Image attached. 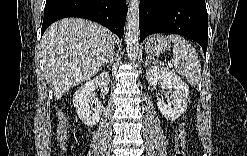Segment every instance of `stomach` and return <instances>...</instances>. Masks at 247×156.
Returning a JSON list of instances; mask_svg holds the SVG:
<instances>
[{"label":"stomach","instance_id":"1","mask_svg":"<svg viewBox=\"0 0 247 156\" xmlns=\"http://www.w3.org/2000/svg\"><path fill=\"white\" fill-rule=\"evenodd\" d=\"M169 47L170 41L168 37L164 35H153L147 40L145 44V50L147 54L151 56H158L162 52L166 51Z\"/></svg>","mask_w":247,"mask_h":156}]
</instances>
